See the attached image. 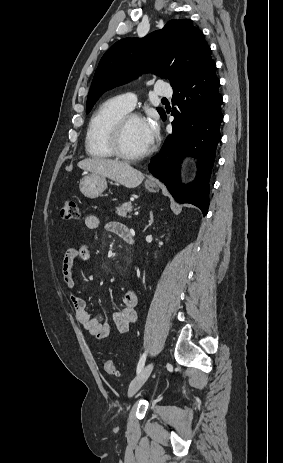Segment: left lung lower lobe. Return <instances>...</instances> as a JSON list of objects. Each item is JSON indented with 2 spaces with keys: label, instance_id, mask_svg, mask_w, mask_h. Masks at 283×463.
I'll use <instances>...</instances> for the list:
<instances>
[{
  "label": "left lung lower lobe",
  "instance_id": "obj_1",
  "mask_svg": "<svg viewBox=\"0 0 283 463\" xmlns=\"http://www.w3.org/2000/svg\"><path fill=\"white\" fill-rule=\"evenodd\" d=\"M211 61L174 89L172 110L173 131L162 151L151 159L150 172L160 179L179 203H191L205 216L209 206V181L216 147L221 140L222 96ZM163 119H166L164 115ZM184 156L197 159L196 179L188 186L180 181V163Z\"/></svg>",
  "mask_w": 283,
  "mask_h": 463
}]
</instances>
